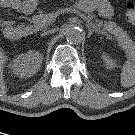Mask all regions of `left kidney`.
Here are the masks:
<instances>
[{
  "mask_svg": "<svg viewBox=\"0 0 135 135\" xmlns=\"http://www.w3.org/2000/svg\"><path fill=\"white\" fill-rule=\"evenodd\" d=\"M102 60L108 69H114L117 66V61L112 59L108 54H102Z\"/></svg>",
  "mask_w": 135,
  "mask_h": 135,
  "instance_id": "1",
  "label": "left kidney"
}]
</instances>
